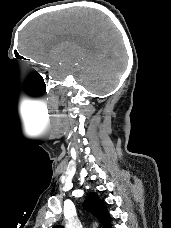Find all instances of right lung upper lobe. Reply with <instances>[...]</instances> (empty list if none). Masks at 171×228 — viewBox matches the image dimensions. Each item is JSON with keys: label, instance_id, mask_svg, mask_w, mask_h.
<instances>
[{"label": "right lung upper lobe", "instance_id": "cb5924a9", "mask_svg": "<svg viewBox=\"0 0 171 228\" xmlns=\"http://www.w3.org/2000/svg\"><path fill=\"white\" fill-rule=\"evenodd\" d=\"M84 207L98 219L104 228H111L108 210L95 192L89 194L85 201ZM54 228L62 227L55 226Z\"/></svg>", "mask_w": 171, "mask_h": 228}]
</instances>
